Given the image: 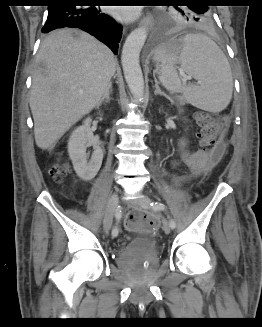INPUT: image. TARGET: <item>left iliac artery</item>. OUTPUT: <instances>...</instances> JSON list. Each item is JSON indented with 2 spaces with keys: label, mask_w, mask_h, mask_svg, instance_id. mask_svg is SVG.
<instances>
[{
  "label": "left iliac artery",
  "mask_w": 262,
  "mask_h": 327,
  "mask_svg": "<svg viewBox=\"0 0 262 327\" xmlns=\"http://www.w3.org/2000/svg\"><path fill=\"white\" fill-rule=\"evenodd\" d=\"M150 205L154 210H165V205L161 202H152ZM169 225L172 229L176 226V223L172 218L169 220Z\"/></svg>",
  "instance_id": "1"
}]
</instances>
